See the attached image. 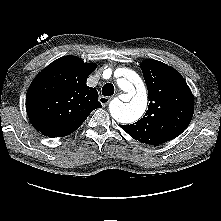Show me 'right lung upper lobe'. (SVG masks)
<instances>
[{
    "instance_id": "cb5924a9",
    "label": "right lung upper lobe",
    "mask_w": 221,
    "mask_h": 221,
    "mask_svg": "<svg viewBox=\"0 0 221 221\" xmlns=\"http://www.w3.org/2000/svg\"><path fill=\"white\" fill-rule=\"evenodd\" d=\"M96 64L75 56L61 57L42 70L26 94L32 125L48 137L71 134L96 108H102L95 88L86 85Z\"/></svg>"
}]
</instances>
